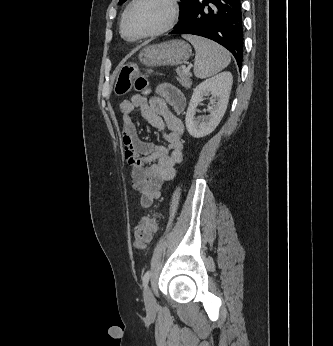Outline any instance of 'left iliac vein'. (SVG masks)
Segmentation results:
<instances>
[{
    "label": "left iliac vein",
    "mask_w": 333,
    "mask_h": 346,
    "mask_svg": "<svg viewBox=\"0 0 333 346\" xmlns=\"http://www.w3.org/2000/svg\"><path fill=\"white\" fill-rule=\"evenodd\" d=\"M145 306L148 314H154L157 309V304L152 290L147 287L144 291Z\"/></svg>",
    "instance_id": "obj_1"
}]
</instances>
